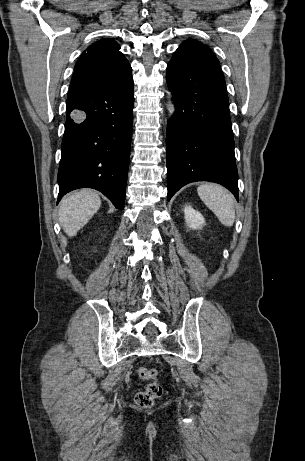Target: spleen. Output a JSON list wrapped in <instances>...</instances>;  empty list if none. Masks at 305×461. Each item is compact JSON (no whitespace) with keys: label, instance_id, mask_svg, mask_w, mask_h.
Here are the masks:
<instances>
[{"label":"spleen","instance_id":"1","mask_svg":"<svg viewBox=\"0 0 305 461\" xmlns=\"http://www.w3.org/2000/svg\"><path fill=\"white\" fill-rule=\"evenodd\" d=\"M197 192L201 200L214 212L223 225L231 227L234 224V201L225 188L218 184L206 183L200 185Z\"/></svg>","mask_w":305,"mask_h":461}]
</instances>
